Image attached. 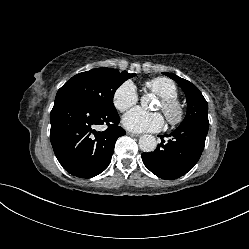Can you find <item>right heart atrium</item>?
<instances>
[{
    "mask_svg": "<svg viewBox=\"0 0 249 249\" xmlns=\"http://www.w3.org/2000/svg\"><path fill=\"white\" fill-rule=\"evenodd\" d=\"M112 101L114 107L120 112H125L131 108L138 101L135 85L130 81L123 82L114 91Z\"/></svg>",
    "mask_w": 249,
    "mask_h": 249,
    "instance_id": "1",
    "label": "right heart atrium"
}]
</instances>
